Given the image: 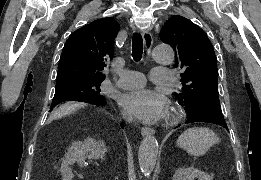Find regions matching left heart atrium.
<instances>
[{
  "instance_id": "39dd6f15",
  "label": "left heart atrium",
  "mask_w": 261,
  "mask_h": 180,
  "mask_svg": "<svg viewBox=\"0 0 261 180\" xmlns=\"http://www.w3.org/2000/svg\"><path fill=\"white\" fill-rule=\"evenodd\" d=\"M119 101L125 113L141 120L159 117L167 105V97L161 91L147 88L124 92Z\"/></svg>"
}]
</instances>
